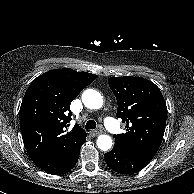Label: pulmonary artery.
Returning a JSON list of instances; mask_svg holds the SVG:
<instances>
[{"mask_svg": "<svg viewBox=\"0 0 194 194\" xmlns=\"http://www.w3.org/2000/svg\"><path fill=\"white\" fill-rule=\"evenodd\" d=\"M104 125L105 127L112 133L117 134L119 133L120 129H119V125L117 124V122L111 118V117H106L104 119Z\"/></svg>", "mask_w": 194, "mask_h": 194, "instance_id": "pulmonary-artery-1", "label": "pulmonary artery"}]
</instances>
